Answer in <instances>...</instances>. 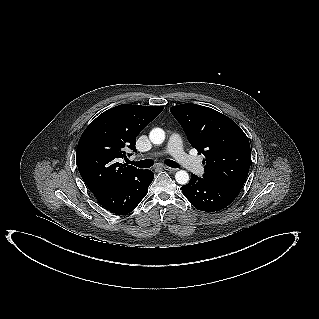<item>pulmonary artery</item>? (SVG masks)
Listing matches in <instances>:
<instances>
[{"mask_svg":"<svg viewBox=\"0 0 319 319\" xmlns=\"http://www.w3.org/2000/svg\"><path fill=\"white\" fill-rule=\"evenodd\" d=\"M164 153L171 154L184 168L195 174H203L204 168L200 160L187 154L183 150L182 140L178 134H172L169 138L165 152L155 153L153 156H159Z\"/></svg>","mask_w":319,"mask_h":319,"instance_id":"pulmonary-artery-1","label":"pulmonary artery"}]
</instances>
